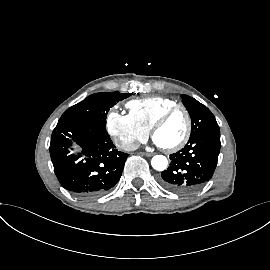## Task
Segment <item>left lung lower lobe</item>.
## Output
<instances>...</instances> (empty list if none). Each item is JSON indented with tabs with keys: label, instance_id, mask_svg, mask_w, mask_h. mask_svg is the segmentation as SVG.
Listing matches in <instances>:
<instances>
[{
	"label": "left lung lower lobe",
	"instance_id": "0a47b994",
	"mask_svg": "<svg viewBox=\"0 0 270 270\" xmlns=\"http://www.w3.org/2000/svg\"><path fill=\"white\" fill-rule=\"evenodd\" d=\"M220 134H201L171 154V163L161 173L160 184L177 194L198 191L213 176L220 152Z\"/></svg>",
	"mask_w": 270,
	"mask_h": 270
}]
</instances>
